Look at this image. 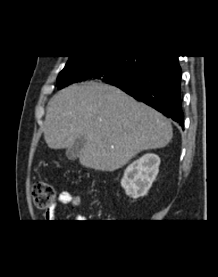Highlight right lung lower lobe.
<instances>
[{
	"label": "right lung lower lobe",
	"instance_id": "right-lung-lower-lobe-1",
	"mask_svg": "<svg viewBox=\"0 0 218 277\" xmlns=\"http://www.w3.org/2000/svg\"><path fill=\"white\" fill-rule=\"evenodd\" d=\"M177 57L153 56L148 64L126 83L112 85L172 118L183 127L181 68ZM82 78L101 79V76L87 73Z\"/></svg>",
	"mask_w": 218,
	"mask_h": 277
}]
</instances>
